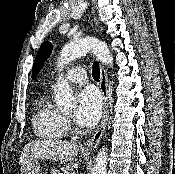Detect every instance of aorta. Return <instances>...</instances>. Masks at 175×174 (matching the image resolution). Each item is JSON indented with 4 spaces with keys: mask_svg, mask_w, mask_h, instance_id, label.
<instances>
[{
    "mask_svg": "<svg viewBox=\"0 0 175 174\" xmlns=\"http://www.w3.org/2000/svg\"><path fill=\"white\" fill-rule=\"evenodd\" d=\"M93 52L96 58L103 64L112 65L113 57L107 45L92 37L72 41L65 45L60 52L57 61L58 67L62 68L71 61ZM56 103L63 107L73 108L76 105V97L66 80L59 78L54 87ZM108 154L105 148H102L95 159V165L92 174H107Z\"/></svg>",
    "mask_w": 175,
    "mask_h": 174,
    "instance_id": "1",
    "label": "aorta"
}]
</instances>
